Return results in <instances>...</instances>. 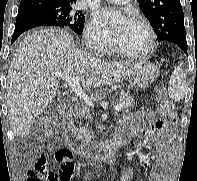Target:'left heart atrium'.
<instances>
[{"mask_svg": "<svg viewBox=\"0 0 197 181\" xmlns=\"http://www.w3.org/2000/svg\"><path fill=\"white\" fill-rule=\"evenodd\" d=\"M116 11L112 9H102L98 13L99 22L106 27L115 37H118L122 30L127 26L129 20L126 17H121L116 23L113 19L116 16Z\"/></svg>", "mask_w": 197, "mask_h": 181, "instance_id": "obj_1", "label": "left heart atrium"}]
</instances>
